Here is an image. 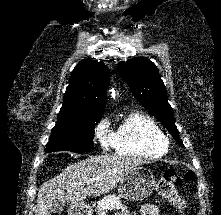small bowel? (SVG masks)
Segmentation results:
<instances>
[{"label": "small bowel", "mask_w": 221, "mask_h": 215, "mask_svg": "<svg viewBox=\"0 0 221 215\" xmlns=\"http://www.w3.org/2000/svg\"><path fill=\"white\" fill-rule=\"evenodd\" d=\"M139 211L142 215H159V209L156 205L154 204H144L139 208ZM118 215H131L130 211L128 210H123L121 213Z\"/></svg>", "instance_id": "small-bowel-1"}]
</instances>
